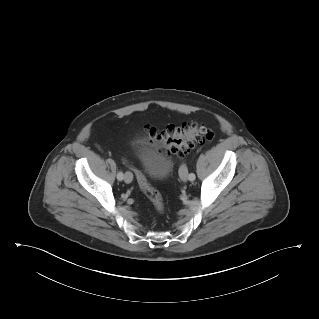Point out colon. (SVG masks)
<instances>
[{"instance_id":"1","label":"colon","mask_w":319,"mask_h":319,"mask_svg":"<svg viewBox=\"0 0 319 319\" xmlns=\"http://www.w3.org/2000/svg\"><path fill=\"white\" fill-rule=\"evenodd\" d=\"M146 135L151 142L163 145L168 153L181 158L196 146L210 140L213 132L205 125L196 122H184L179 126H169L162 131L147 129ZM131 168L143 193L158 212H163L164 202L160 193L148 182L139 169L133 166Z\"/></svg>"}]
</instances>
